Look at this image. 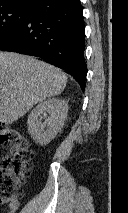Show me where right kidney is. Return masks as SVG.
<instances>
[{"mask_svg":"<svg viewBox=\"0 0 128 213\" xmlns=\"http://www.w3.org/2000/svg\"><path fill=\"white\" fill-rule=\"evenodd\" d=\"M49 116L42 121V114ZM68 113L65 100L52 98L40 102L29 114L27 125L32 139L40 145L50 143L61 131Z\"/></svg>","mask_w":128,"mask_h":213,"instance_id":"obj_1","label":"right kidney"}]
</instances>
